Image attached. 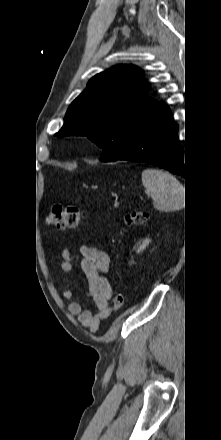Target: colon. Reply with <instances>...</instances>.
Wrapping results in <instances>:
<instances>
[{
    "instance_id": "1",
    "label": "colon",
    "mask_w": 221,
    "mask_h": 440,
    "mask_svg": "<svg viewBox=\"0 0 221 440\" xmlns=\"http://www.w3.org/2000/svg\"><path fill=\"white\" fill-rule=\"evenodd\" d=\"M87 216L79 208L71 205H54L47 216V224L59 229L75 228ZM147 219L144 211H132L123 216V225L133 227L142 225ZM125 304V297L122 293H117L113 298V309L119 311Z\"/></svg>"
}]
</instances>
